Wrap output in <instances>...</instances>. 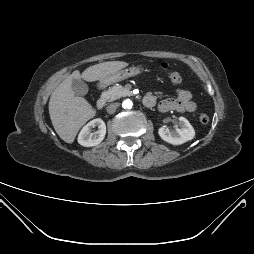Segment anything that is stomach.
I'll list each match as a JSON object with an SVG mask.
<instances>
[{
    "mask_svg": "<svg viewBox=\"0 0 254 254\" xmlns=\"http://www.w3.org/2000/svg\"><path fill=\"white\" fill-rule=\"evenodd\" d=\"M142 72V68L139 65H132L123 70L117 71L103 79L100 80L102 86H106L115 82L125 80L129 77L137 76Z\"/></svg>",
    "mask_w": 254,
    "mask_h": 254,
    "instance_id": "stomach-1",
    "label": "stomach"
}]
</instances>
